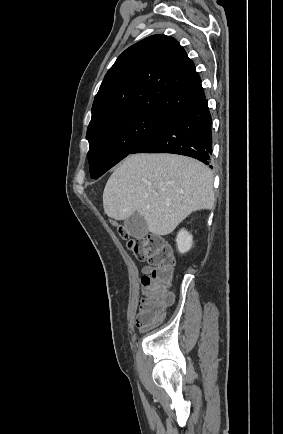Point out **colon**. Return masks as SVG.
<instances>
[{"mask_svg": "<svg viewBox=\"0 0 283 434\" xmlns=\"http://www.w3.org/2000/svg\"><path fill=\"white\" fill-rule=\"evenodd\" d=\"M120 234L127 240L136 258L151 265L149 273L141 279L143 298L136 320L137 326L147 329L160 321L165 308L172 301L169 288L174 259L168 246L156 236L132 238L123 230H120Z\"/></svg>", "mask_w": 283, "mask_h": 434, "instance_id": "obj_1", "label": "colon"}]
</instances>
